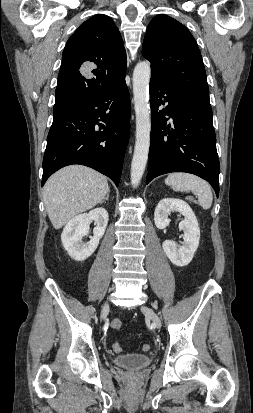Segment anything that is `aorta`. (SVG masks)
I'll use <instances>...</instances> for the list:
<instances>
[{
    "label": "aorta",
    "mask_w": 253,
    "mask_h": 413,
    "mask_svg": "<svg viewBox=\"0 0 253 413\" xmlns=\"http://www.w3.org/2000/svg\"><path fill=\"white\" fill-rule=\"evenodd\" d=\"M151 66L147 61L137 63L133 72V96L136 114V141L131 163V183L138 186L144 174L150 147L149 82Z\"/></svg>",
    "instance_id": "obj_1"
}]
</instances>
